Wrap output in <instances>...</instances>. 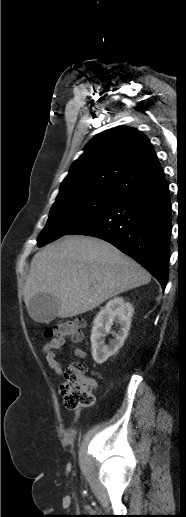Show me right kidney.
Instances as JSON below:
<instances>
[{
    "label": "right kidney",
    "instance_id": "right-kidney-1",
    "mask_svg": "<svg viewBox=\"0 0 186 517\" xmlns=\"http://www.w3.org/2000/svg\"><path fill=\"white\" fill-rule=\"evenodd\" d=\"M133 313L134 308L129 302H125L122 297H116L107 302L96 315L91 332V350L97 364L104 363L123 346L131 327ZM113 322L120 325L118 333L111 332ZM110 332L115 338L105 345L103 338Z\"/></svg>",
    "mask_w": 186,
    "mask_h": 517
}]
</instances>
